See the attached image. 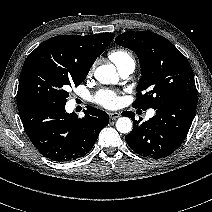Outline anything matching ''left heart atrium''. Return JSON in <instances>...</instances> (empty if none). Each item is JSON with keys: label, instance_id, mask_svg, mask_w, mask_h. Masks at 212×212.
Listing matches in <instances>:
<instances>
[{"label": "left heart atrium", "instance_id": "1", "mask_svg": "<svg viewBox=\"0 0 212 212\" xmlns=\"http://www.w3.org/2000/svg\"><path fill=\"white\" fill-rule=\"evenodd\" d=\"M95 101L106 108H113L118 104V97L113 91L102 90L97 93Z\"/></svg>", "mask_w": 212, "mask_h": 212}]
</instances>
